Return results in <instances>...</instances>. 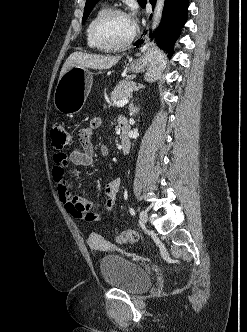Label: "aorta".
I'll return each mask as SVG.
<instances>
[{
    "label": "aorta",
    "instance_id": "aorta-1",
    "mask_svg": "<svg viewBox=\"0 0 247 332\" xmlns=\"http://www.w3.org/2000/svg\"><path fill=\"white\" fill-rule=\"evenodd\" d=\"M164 1L165 0H157L156 1V6H155V11H154V16H153V25L152 28L155 29L160 21L163 6H164Z\"/></svg>",
    "mask_w": 247,
    "mask_h": 332
}]
</instances>
